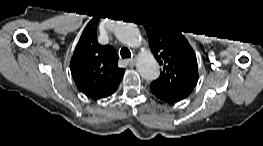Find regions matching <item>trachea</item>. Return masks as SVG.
<instances>
[{
  "label": "trachea",
  "instance_id": "obj_1",
  "mask_svg": "<svg viewBox=\"0 0 263 146\" xmlns=\"http://www.w3.org/2000/svg\"><path fill=\"white\" fill-rule=\"evenodd\" d=\"M120 55L121 57L124 58H130L131 57V52L127 48H122L120 50Z\"/></svg>",
  "mask_w": 263,
  "mask_h": 146
}]
</instances>
